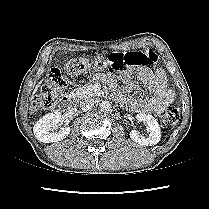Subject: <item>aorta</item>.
Returning <instances> with one entry per match:
<instances>
[{
    "instance_id": "obj_1",
    "label": "aorta",
    "mask_w": 209,
    "mask_h": 209,
    "mask_svg": "<svg viewBox=\"0 0 209 209\" xmlns=\"http://www.w3.org/2000/svg\"><path fill=\"white\" fill-rule=\"evenodd\" d=\"M100 110L104 113H110L112 111V104L109 101H102L99 104Z\"/></svg>"
}]
</instances>
